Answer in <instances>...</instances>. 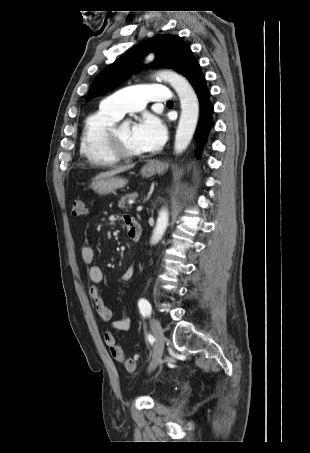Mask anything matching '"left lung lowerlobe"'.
Instances as JSON below:
<instances>
[{"label": "left lung lower lobe", "mask_w": 310, "mask_h": 453, "mask_svg": "<svg viewBox=\"0 0 310 453\" xmlns=\"http://www.w3.org/2000/svg\"><path fill=\"white\" fill-rule=\"evenodd\" d=\"M181 74L192 84L200 101V123L197 129V145L194 151L195 157L200 158L208 132L213 125L211 120L213 106L209 100L210 93L206 88L205 77L193 54L187 60Z\"/></svg>", "instance_id": "obj_1"}]
</instances>
